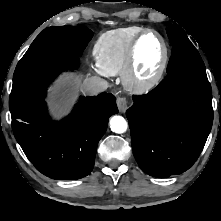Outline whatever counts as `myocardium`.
Returning <instances> with one entry per match:
<instances>
[{"label":"myocardium","mask_w":221,"mask_h":221,"mask_svg":"<svg viewBox=\"0 0 221 221\" xmlns=\"http://www.w3.org/2000/svg\"><path fill=\"white\" fill-rule=\"evenodd\" d=\"M148 34H154L159 38L163 47V56H162L161 63L157 71L155 72V74L152 77H150L148 80L140 81L135 76L136 52H137V47L139 45V42L144 36ZM168 60H169V47L163 35L154 29H144L133 39L129 47L125 66L122 71V80H123L124 86L128 90L135 92V93L149 92L150 90L155 88L161 81L165 73V70L167 68Z\"/></svg>","instance_id":"1"}]
</instances>
